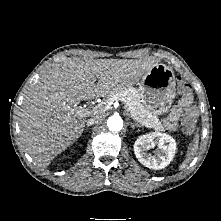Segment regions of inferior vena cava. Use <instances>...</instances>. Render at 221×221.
<instances>
[{
  "instance_id": "inferior-vena-cava-1",
  "label": "inferior vena cava",
  "mask_w": 221,
  "mask_h": 221,
  "mask_svg": "<svg viewBox=\"0 0 221 221\" xmlns=\"http://www.w3.org/2000/svg\"><path fill=\"white\" fill-rule=\"evenodd\" d=\"M100 121V117L99 116H93L92 118H90L87 122V125H92L96 122Z\"/></svg>"
}]
</instances>
